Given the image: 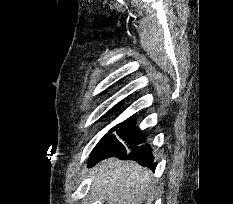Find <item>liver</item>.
Masks as SVG:
<instances>
[{
	"instance_id": "liver-1",
	"label": "liver",
	"mask_w": 233,
	"mask_h": 204,
	"mask_svg": "<svg viewBox=\"0 0 233 204\" xmlns=\"http://www.w3.org/2000/svg\"><path fill=\"white\" fill-rule=\"evenodd\" d=\"M91 188L107 204H142L152 200V172L134 161L109 158L90 171Z\"/></svg>"
}]
</instances>
